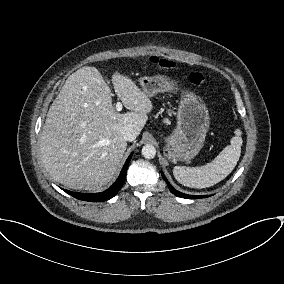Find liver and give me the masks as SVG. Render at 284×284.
<instances>
[{"label":"liver","mask_w":284,"mask_h":284,"mask_svg":"<svg viewBox=\"0 0 284 284\" xmlns=\"http://www.w3.org/2000/svg\"><path fill=\"white\" fill-rule=\"evenodd\" d=\"M117 97L130 112L117 113L112 93L95 67L85 66L68 77L51 104L40 138L44 166L58 183L98 191L118 175L127 147L125 127L137 135L153 104L134 81L113 73Z\"/></svg>","instance_id":"6515ba94"}]
</instances>
